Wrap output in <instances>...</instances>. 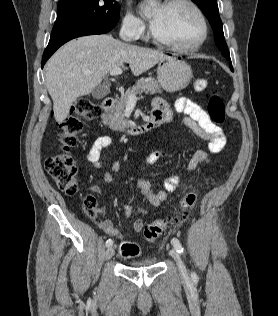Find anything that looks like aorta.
<instances>
[{"label":"aorta","mask_w":278,"mask_h":316,"mask_svg":"<svg viewBox=\"0 0 278 316\" xmlns=\"http://www.w3.org/2000/svg\"><path fill=\"white\" fill-rule=\"evenodd\" d=\"M156 5L155 0H147V4L145 6V14L151 13V11L154 9Z\"/></svg>","instance_id":"obj_1"}]
</instances>
